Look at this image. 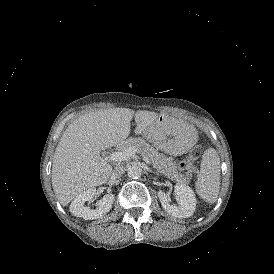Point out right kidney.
<instances>
[{
	"mask_svg": "<svg viewBox=\"0 0 274 274\" xmlns=\"http://www.w3.org/2000/svg\"><path fill=\"white\" fill-rule=\"evenodd\" d=\"M96 195L95 190L89 189L79 194L71 203L70 211L77 217H82L85 220H94L104 216L108 213L114 202V195L106 193L96 203V209L92 210L88 206H84V203L90 201Z\"/></svg>",
	"mask_w": 274,
	"mask_h": 274,
	"instance_id": "1",
	"label": "right kidney"
}]
</instances>
